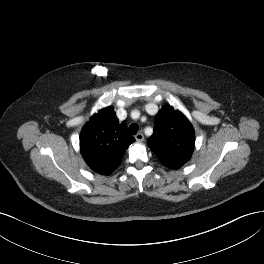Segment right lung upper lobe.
Here are the masks:
<instances>
[{"label":"right lung upper lobe","mask_w":264,"mask_h":264,"mask_svg":"<svg viewBox=\"0 0 264 264\" xmlns=\"http://www.w3.org/2000/svg\"><path fill=\"white\" fill-rule=\"evenodd\" d=\"M134 142L120 123L112 107L94 114L80 135L81 154L88 166L101 175H110L120 164L123 154Z\"/></svg>","instance_id":"1"}]
</instances>
